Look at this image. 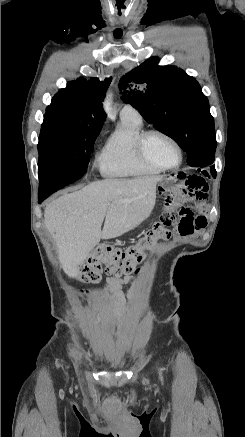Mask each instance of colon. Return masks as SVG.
<instances>
[{"mask_svg": "<svg viewBox=\"0 0 245 437\" xmlns=\"http://www.w3.org/2000/svg\"><path fill=\"white\" fill-rule=\"evenodd\" d=\"M170 235V229H165L159 220L137 245L125 250L109 244L99 246L81 266L80 280L94 283L100 280L103 272L113 276L137 272V265L143 260L144 251L154 248L159 240H166Z\"/></svg>", "mask_w": 245, "mask_h": 437, "instance_id": "obj_1", "label": "colon"}]
</instances>
